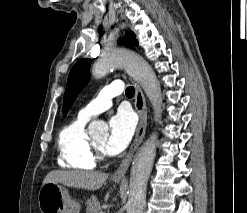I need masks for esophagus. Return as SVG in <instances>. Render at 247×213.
Instances as JSON below:
<instances>
[{
	"label": "esophagus",
	"mask_w": 247,
	"mask_h": 213,
	"mask_svg": "<svg viewBox=\"0 0 247 213\" xmlns=\"http://www.w3.org/2000/svg\"><path fill=\"white\" fill-rule=\"evenodd\" d=\"M134 87H135V108L136 111L138 112L139 115V124L137 127V131L135 134L134 141L125 156V158L122 160L120 166L118 169L114 172L113 178L115 179H121L125 176V173L127 172L133 155L141 142L143 141V138L145 136L146 132V127H147V105H146V100L144 97V94L142 92V89L140 86L134 82Z\"/></svg>",
	"instance_id": "obj_1"
}]
</instances>
